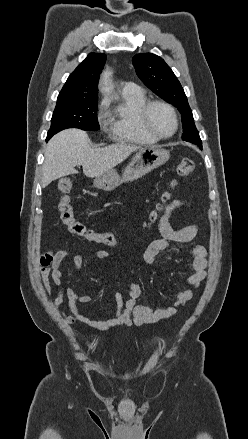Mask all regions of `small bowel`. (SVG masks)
I'll use <instances>...</instances> for the list:
<instances>
[{
  "label": "small bowel",
  "instance_id": "c3829d8e",
  "mask_svg": "<svg viewBox=\"0 0 248 439\" xmlns=\"http://www.w3.org/2000/svg\"><path fill=\"white\" fill-rule=\"evenodd\" d=\"M189 206L190 202L183 199H175L166 206L158 221V230L161 237L149 243L143 254V259L147 265H154L157 255L162 252H176L175 244H187L196 238L199 230L198 225L192 224L175 230L169 222L174 211ZM95 255L103 261L110 259L109 253L102 249L96 250ZM185 255L192 260L189 265L191 272L184 279V283L192 288H198L206 276L208 251L203 245H195L185 252ZM66 258L72 260L76 271L82 269L83 258L80 254L66 249H59L48 251L39 256V272L43 288L48 296H51L52 285L59 288L53 299V304L56 308H60L66 302L69 313L63 316L69 324L79 321L98 331L108 330L119 325L139 327L153 324L176 315L179 309L184 307L194 296L192 288H183L176 292L174 303L166 308L138 305L137 299L141 294V289L134 282L130 286L127 301H124L121 293L115 294L117 311L114 317L106 320H92L86 317L78 308V303H90L92 297L80 294L73 288H62L63 272L61 264Z\"/></svg>",
  "mask_w": 248,
  "mask_h": 439
}]
</instances>
